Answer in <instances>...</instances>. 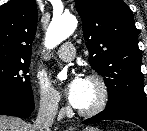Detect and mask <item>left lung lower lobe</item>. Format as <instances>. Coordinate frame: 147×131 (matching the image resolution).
<instances>
[{"label":"left lung lower lobe","instance_id":"obj_1","mask_svg":"<svg viewBox=\"0 0 147 131\" xmlns=\"http://www.w3.org/2000/svg\"><path fill=\"white\" fill-rule=\"evenodd\" d=\"M99 120H126L133 122L147 131V105L125 104L106 108L99 114L83 121V124Z\"/></svg>","mask_w":147,"mask_h":131}]
</instances>
